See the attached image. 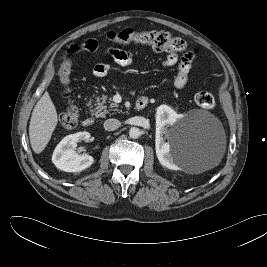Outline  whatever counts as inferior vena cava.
<instances>
[{
  "instance_id": "inferior-vena-cava-1",
  "label": "inferior vena cava",
  "mask_w": 267,
  "mask_h": 267,
  "mask_svg": "<svg viewBox=\"0 0 267 267\" xmlns=\"http://www.w3.org/2000/svg\"><path fill=\"white\" fill-rule=\"evenodd\" d=\"M121 126V122L117 119H107L104 122V129L107 131H114L116 129H118Z\"/></svg>"
}]
</instances>
